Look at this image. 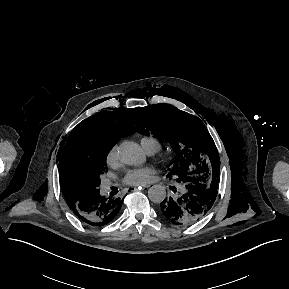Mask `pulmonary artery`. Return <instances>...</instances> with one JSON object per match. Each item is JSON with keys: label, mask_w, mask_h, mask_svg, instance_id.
Returning <instances> with one entry per match:
<instances>
[{"label": "pulmonary artery", "mask_w": 289, "mask_h": 289, "mask_svg": "<svg viewBox=\"0 0 289 289\" xmlns=\"http://www.w3.org/2000/svg\"><path fill=\"white\" fill-rule=\"evenodd\" d=\"M156 151H157V148H156V147H152V148H150L149 150H147V153H148L149 155H152V154H154Z\"/></svg>", "instance_id": "e3ab8cb5"}]
</instances>
